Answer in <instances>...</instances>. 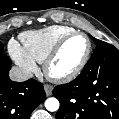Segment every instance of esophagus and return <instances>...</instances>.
<instances>
[{
  "instance_id": "34e87169",
  "label": "esophagus",
  "mask_w": 119,
  "mask_h": 119,
  "mask_svg": "<svg viewBox=\"0 0 119 119\" xmlns=\"http://www.w3.org/2000/svg\"><path fill=\"white\" fill-rule=\"evenodd\" d=\"M44 90L46 92L47 96H50L52 94L53 87L49 84L44 85Z\"/></svg>"
}]
</instances>
